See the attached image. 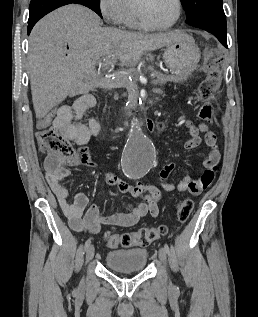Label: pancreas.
<instances>
[{
	"instance_id": "obj_1",
	"label": "pancreas",
	"mask_w": 258,
	"mask_h": 317,
	"mask_svg": "<svg viewBox=\"0 0 258 317\" xmlns=\"http://www.w3.org/2000/svg\"><path fill=\"white\" fill-rule=\"evenodd\" d=\"M100 79H103V86H110L111 82H113L114 84H117L118 90H123L125 88L127 93H133L135 88L137 87L136 85L138 84L137 82L132 83L131 81H128L126 77H121V78L109 77V78H100ZM151 81L154 83V84H151V87L149 85L148 86L140 85L139 87L140 88L143 87L145 93H150L151 89H153L155 93H160L162 92L161 84L171 83V78L157 77V78H153ZM162 93L164 94L165 92L163 91Z\"/></svg>"
}]
</instances>
